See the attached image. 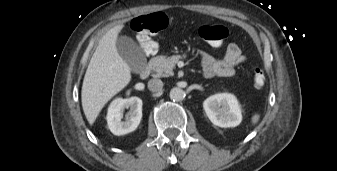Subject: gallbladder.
Instances as JSON below:
<instances>
[{"label":"gallbladder","instance_id":"bac80fb5","mask_svg":"<svg viewBox=\"0 0 337 171\" xmlns=\"http://www.w3.org/2000/svg\"><path fill=\"white\" fill-rule=\"evenodd\" d=\"M117 50L122 59L127 62L130 69L135 73L144 70L146 59L141 48L127 36H122L117 40Z\"/></svg>","mask_w":337,"mask_h":171}]
</instances>
